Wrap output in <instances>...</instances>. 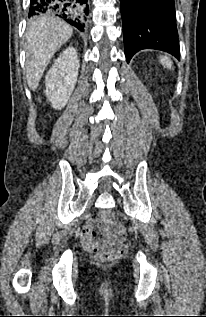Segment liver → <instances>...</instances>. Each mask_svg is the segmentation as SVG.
<instances>
[{
  "mask_svg": "<svg viewBox=\"0 0 206 317\" xmlns=\"http://www.w3.org/2000/svg\"><path fill=\"white\" fill-rule=\"evenodd\" d=\"M73 28L60 18L47 14L31 20L25 35L26 77L35 91L56 51L72 36Z\"/></svg>",
  "mask_w": 206,
  "mask_h": 317,
  "instance_id": "liver-1",
  "label": "liver"
}]
</instances>
